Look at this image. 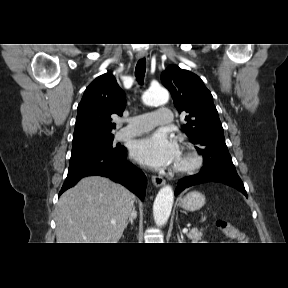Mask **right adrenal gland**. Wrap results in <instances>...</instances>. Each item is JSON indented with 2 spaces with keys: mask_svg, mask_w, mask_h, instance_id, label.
<instances>
[{
  "mask_svg": "<svg viewBox=\"0 0 288 288\" xmlns=\"http://www.w3.org/2000/svg\"><path fill=\"white\" fill-rule=\"evenodd\" d=\"M136 217H137V211L135 210V207H133L132 213H131V215L129 216V220H128L127 223H126L125 228H127V225H128L129 223H131V225H133L134 219H136Z\"/></svg>",
  "mask_w": 288,
  "mask_h": 288,
  "instance_id": "2a0ac1e0",
  "label": "right adrenal gland"
}]
</instances>
